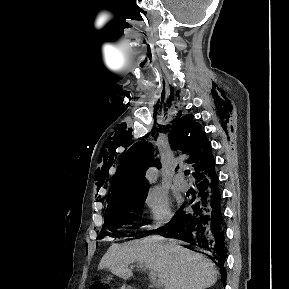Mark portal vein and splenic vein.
<instances>
[{
    "instance_id": "18ae733b",
    "label": "portal vein and splenic vein",
    "mask_w": 289,
    "mask_h": 289,
    "mask_svg": "<svg viewBox=\"0 0 289 289\" xmlns=\"http://www.w3.org/2000/svg\"><path fill=\"white\" fill-rule=\"evenodd\" d=\"M150 276L152 278V281L154 282V285L157 288H160L163 286L162 281L160 280L159 276L154 271H152V270L150 271Z\"/></svg>"
}]
</instances>
